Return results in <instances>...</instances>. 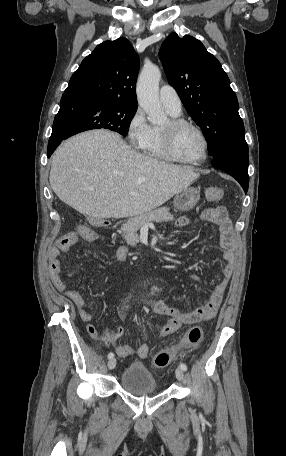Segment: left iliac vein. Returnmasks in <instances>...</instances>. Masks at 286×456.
I'll return each instance as SVG.
<instances>
[{"label":"left iliac vein","instance_id":"4c4485c4","mask_svg":"<svg viewBox=\"0 0 286 456\" xmlns=\"http://www.w3.org/2000/svg\"><path fill=\"white\" fill-rule=\"evenodd\" d=\"M175 374H176V377L179 381H183L184 380V372L181 368H177L175 370Z\"/></svg>","mask_w":286,"mask_h":456}]
</instances>
